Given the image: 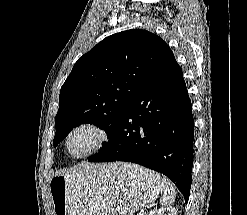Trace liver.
I'll list each match as a JSON object with an SVG mask.
<instances>
[{
	"label": "liver",
	"mask_w": 247,
	"mask_h": 215,
	"mask_svg": "<svg viewBox=\"0 0 247 215\" xmlns=\"http://www.w3.org/2000/svg\"><path fill=\"white\" fill-rule=\"evenodd\" d=\"M93 165L91 164H85L83 165L82 167H76V168H73L72 171H69V172H66V173H63V175H72V174H75L77 172H81L89 167H92Z\"/></svg>",
	"instance_id": "6515ba94"
}]
</instances>
